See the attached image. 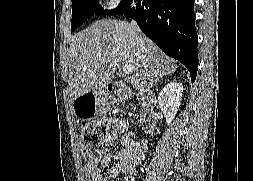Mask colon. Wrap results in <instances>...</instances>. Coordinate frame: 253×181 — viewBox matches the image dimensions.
<instances>
[{
    "mask_svg": "<svg viewBox=\"0 0 253 181\" xmlns=\"http://www.w3.org/2000/svg\"><path fill=\"white\" fill-rule=\"evenodd\" d=\"M117 128L111 119L103 118L85 126L80 133V145L85 160L94 163L109 148Z\"/></svg>",
    "mask_w": 253,
    "mask_h": 181,
    "instance_id": "obj_1",
    "label": "colon"
}]
</instances>
